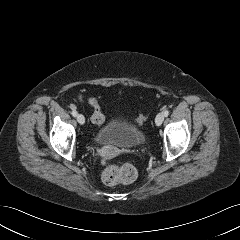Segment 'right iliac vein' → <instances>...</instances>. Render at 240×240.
<instances>
[{"instance_id":"obj_1","label":"right iliac vein","mask_w":240,"mask_h":240,"mask_svg":"<svg viewBox=\"0 0 240 240\" xmlns=\"http://www.w3.org/2000/svg\"><path fill=\"white\" fill-rule=\"evenodd\" d=\"M77 121L79 124L83 125L85 123V117L82 114H78Z\"/></svg>"}]
</instances>
